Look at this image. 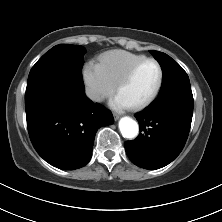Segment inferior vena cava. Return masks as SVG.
<instances>
[{"label": "inferior vena cava", "instance_id": "1", "mask_svg": "<svg viewBox=\"0 0 222 222\" xmlns=\"http://www.w3.org/2000/svg\"><path fill=\"white\" fill-rule=\"evenodd\" d=\"M86 95L93 101H100L101 100V96L99 93H97L96 91L92 90V89H87L86 90Z\"/></svg>", "mask_w": 222, "mask_h": 222}]
</instances>
